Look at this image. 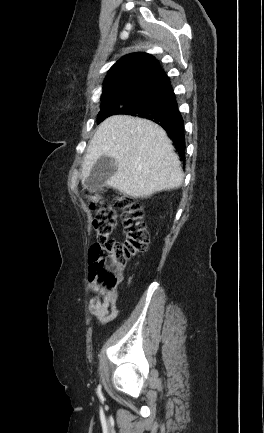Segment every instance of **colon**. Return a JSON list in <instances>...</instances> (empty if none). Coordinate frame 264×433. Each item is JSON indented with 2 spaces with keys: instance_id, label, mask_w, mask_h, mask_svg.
Instances as JSON below:
<instances>
[{
  "instance_id": "obj_1",
  "label": "colon",
  "mask_w": 264,
  "mask_h": 433,
  "mask_svg": "<svg viewBox=\"0 0 264 433\" xmlns=\"http://www.w3.org/2000/svg\"><path fill=\"white\" fill-rule=\"evenodd\" d=\"M85 196L90 207L96 211L93 226L97 242L89 251L90 276L103 286L107 296H114L127 262L142 253L149 242L143 219V205L124 194L116 196L114 205L108 204L95 189L86 190ZM116 208L122 211L125 232L123 242H117L111 237L117 222Z\"/></svg>"
}]
</instances>
